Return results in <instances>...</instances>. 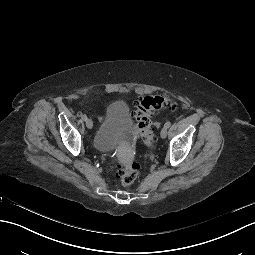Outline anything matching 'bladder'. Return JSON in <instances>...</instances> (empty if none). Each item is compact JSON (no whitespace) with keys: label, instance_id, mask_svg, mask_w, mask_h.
<instances>
[{"label":"bladder","instance_id":"1","mask_svg":"<svg viewBox=\"0 0 255 255\" xmlns=\"http://www.w3.org/2000/svg\"><path fill=\"white\" fill-rule=\"evenodd\" d=\"M120 119L128 126L126 135L119 134L113 129L114 124ZM134 137L126 102L122 100L113 101L107 106L105 120L99 129L93 147L96 150L102 149L108 152L125 141H133Z\"/></svg>","mask_w":255,"mask_h":255}]
</instances>
